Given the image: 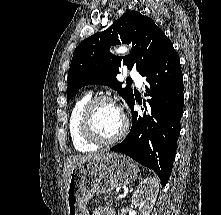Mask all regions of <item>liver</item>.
I'll return each mask as SVG.
<instances>
[{"instance_id":"6515ba94","label":"liver","mask_w":221,"mask_h":215,"mask_svg":"<svg viewBox=\"0 0 221 215\" xmlns=\"http://www.w3.org/2000/svg\"><path fill=\"white\" fill-rule=\"evenodd\" d=\"M103 154H104L103 152H100L97 154L72 155V156L67 157L64 163V171H63V178H64L65 186H67V182L70 177V174L73 168L76 166V164L89 160V159H96Z\"/></svg>"}]
</instances>
